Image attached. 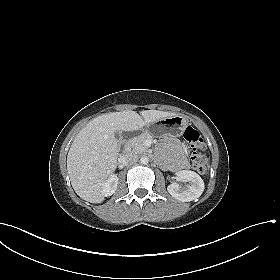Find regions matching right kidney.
I'll return each mask as SVG.
<instances>
[{
	"instance_id": "ca27d5eb",
	"label": "right kidney",
	"mask_w": 280,
	"mask_h": 280,
	"mask_svg": "<svg viewBox=\"0 0 280 280\" xmlns=\"http://www.w3.org/2000/svg\"><path fill=\"white\" fill-rule=\"evenodd\" d=\"M118 185V177L115 174H111L109 178L102 185V193L105 197L111 196L115 193Z\"/></svg>"
}]
</instances>
